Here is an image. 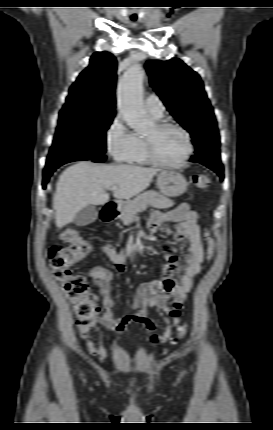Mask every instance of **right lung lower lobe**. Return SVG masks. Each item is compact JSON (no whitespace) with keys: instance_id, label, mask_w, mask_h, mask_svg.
I'll use <instances>...</instances> for the list:
<instances>
[{"instance_id":"right-lung-lower-lobe-1","label":"right lung lower lobe","mask_w":273,"mask_h":430,"mask_svg":"<svg viewBox=\"0 0 273 430\" xmlns=\"http://www.w3.org/2000/svg\"><path fill=\"white\" fill-rule=\"evenodd\" d=\"M106 159V156H100L98 158L93 159L94 162H103ZM57 168H53L51 170L44 171V179H43V188L46 187V183L48 182L50 176Z\"/></svg>"}]
</instances>
